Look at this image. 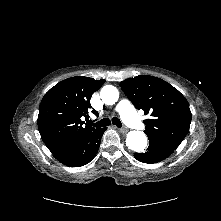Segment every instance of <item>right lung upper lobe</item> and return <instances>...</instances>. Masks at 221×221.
<instances>
[{
    "label": "right lung upper lobe",
    "instance_id": "right-lung-upper-lobe-1",
    "mask_svg": "<svg viewBox=\"0 0 221 221\" xmlns=\"http://www.w3.org/2000/svg\"><path fill=\"white\" fill-rule=\"evenodd\" d=\"M104 82L76 76L59 82L44 95L39 106L38 129L52 154L95 130L83 126L81 118H88V111L92 108L90 98ZM92 113L98 115L94 109Z\"/></svg>",
    "mask_w": 221,
    "mask_h": 221
}]
</instances>
